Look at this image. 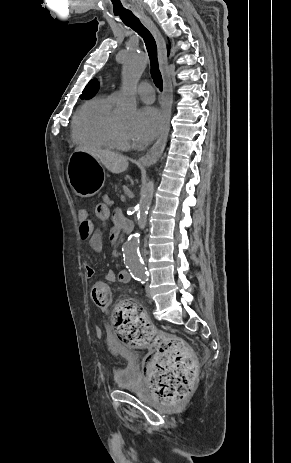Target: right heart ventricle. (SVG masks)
<instances>
[{
  "label": "right heart ventricle",
  "instance_id": "e07e8e85",
  "mask_svg": "<svg viewBox=\"0 0 291 463\" xmlns=\"http://www.w3.org/2000/svg\"><path fill=\"white\" fill-rule=\"evenodd\" d=\"M116 102L113 94L87 101L76 113L72 124V138L87 148L113 149L112 109Z\"/></svg>",
  "mask_w": 291,
  "mask_h": 463
}]
</instances>
